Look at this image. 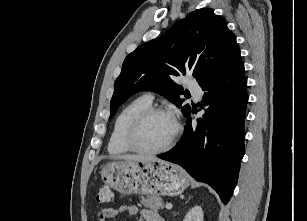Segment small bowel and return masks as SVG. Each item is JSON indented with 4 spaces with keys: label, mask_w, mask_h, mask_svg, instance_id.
I'll list each match as a JSON object with an SVG mask.
<instances>
[{
    "label": "small bowel",
    "mask_w": 307,
    "mask_h": 221,
    "mask_svg": "<svg viewBox=\"0 0 307 221\" xmlns=\"http://www.w3.org/2000/svg\"><path fill=\"white\" fill-rule=\"evenodd\" d=\"M122 213L129 215H136L140 213L145 221H164L162 216L155 210H139L137 206L129 204L102 209L98 214L97 221H107L108 219L115 218Z\"/></svg>",
    "instance_id": "c3829d8e"
}]
</instances>
